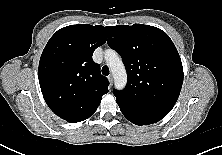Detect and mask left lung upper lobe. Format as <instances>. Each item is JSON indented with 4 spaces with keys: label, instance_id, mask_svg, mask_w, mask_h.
Instances as JSON below:
<instances>
[{
    "label": "left lung upper lobe",
    "instance_id": "1",
    "mask_svg": "<svg viewBox=\"0 0 222 155\" xmlns=\"http://www.w3.org/2000/svg\"><path fill=\"white\" fill-rule=\"evenodd\" d=\"M108 45L126 66L127 86L114 90L116 102L133 111L165 117L183 83V66L169 36L159 28L134 24L106 27Z\"/></svg>",
    "mask_w": 222,
    "mask_h": 155
}]
</instances>
